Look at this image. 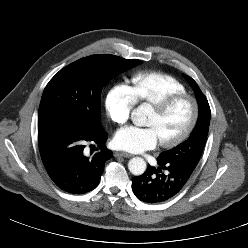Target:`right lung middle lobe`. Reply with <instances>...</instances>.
Instances as JSON below:
<instances>
[{"label":"right lung middle lobe","instance_id":"1","mask_svg":"<svg viewBox=\"0 0 248 248\" xmlns=\"http://www.w3.org/2000/svg\"><path fill=\"white\" fill-rule=\"evenodd\" d=\"M139 60L114 55H92L60 70L44 89L38 112V128L57 125L78 132L102 127L100 99L105 84Z\"/></svg>","mask_w":248,"mask_h":248}]
</instances>
